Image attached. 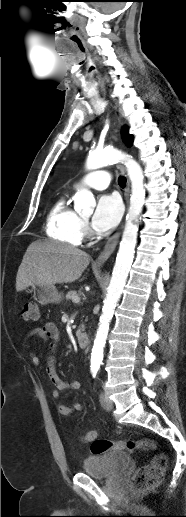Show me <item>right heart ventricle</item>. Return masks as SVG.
I'll return each mask as SVG.
<instances>
[{
	"instance_id": "1",
	"label": "right heart ventricle",
	"mask_w": 186,
	"mask_h": 517,
	"mask_svg": "<svg viewBox=\"0 0 186 517\" xmlns=\"http://www.w3.org/2000/svg\"><path fill=\"white\" fill-rule=\"evenodd\" d=\"M46 233L50 238L71 246L81 244L83 239L81 219L69 206L65 195L58 197L49 209Z\"/></svg>"
}]
</instances>
